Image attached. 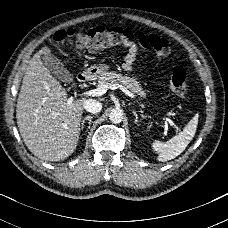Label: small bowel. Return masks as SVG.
<instances>
[{
  "instance_id": "small-bowel-1",
  "label": "small bowel",
  "mask_w": 228,
  "mask_h": 228,
  "mask_svg": "<svg viewBox=\"0 0 228 228\" xmlns=\"http://www.w3.org/2000/svg\"><path fill=\"white\" fill-rule=\"evenodd\" d=\"M139 42L143 49L149 48V43L147 42V38L145 36H140ZM124 47L127 49V54L124 59L123 68L125 71H130L136 59L138 49L136 44L132 41L124 43Z\"/></svg>"
}]
</instances>
